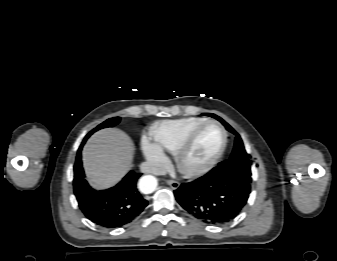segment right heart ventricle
<instances>
[{
	"label": "right heart ventricle",
	"mask_w": 337,
	"mask_h": 261,
	"mask_svg": "<svg viewBox=\"0 0 337 261\" xmlns=\"http://www.w3.org/2000/svg\"><path fill=\"white\" fill-rule=\"evenodd\" d=\"M204 121L206 119L200 117L158 121L152 125L150 136L162 152L175 154L187 134Z\"/></svg>",
	"instance_id": "e07e8e85"
}]
</instances>
